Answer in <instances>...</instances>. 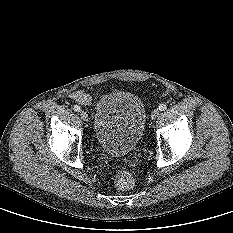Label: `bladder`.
Instances as JSON below:
<instances>
[{
    "label": "bladder",
    "mask_w": 233,
    "mask_h": 233,
    "mask_svg": "<svg viewBox=\"0 0 233 233\" xmlns=\"http://www.w3.org/2000/svg\"><path fill=\"white\" fill-rule=\"evenodd\" d=\"M146 122V110L136 95L115 91L103 95L95 106L94 134L109 155L129 154L139 143Z\"/></svg>",
    "instance_id": "31cf9c89"
}]
</instances>
